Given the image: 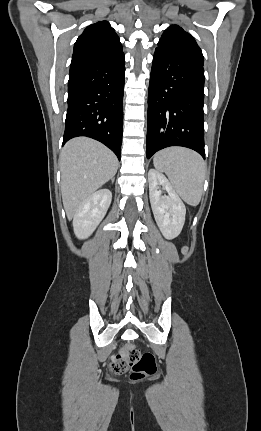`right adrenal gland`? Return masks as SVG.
I'll list each match as a JSON object with an SVG mask.
<instances>
[{"instance_id": "1", "label": "right adrenal gland", "mask_w": 261, "mask_h": 431, "mask_svg": "<svg viewBox=\"0 0 261 431\" xmlns=\"http://www.w3.org/2000/svg\"><path fill=\"white\" fill-rule=\"evenodd\" d=\"M114 182V178L112 179V183Z\"/></svg>"}]
</instances>
